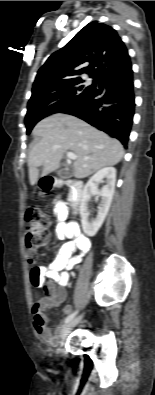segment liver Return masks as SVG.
I'll return each instance as SVG.
<instances>
[{
	"label": "liver",
	"mask_w": 155,
	"mask_h": 395,
	"mask_svg": "<svg viewBox=\"0 0 155 395\" xmlns=\"http://www.w3.org/2000/svg\"><path fill=\"white\" fill-rule=\"evenodd\" d=\"M41 140L31 149L28 158L29 181L35 185L39 167L45 176L60 166L66 152L76 155L73 174L85 178L94 172L118 164L124 154L122 144L87 122L67 114H54L41 120L33 129Z\"/></svg>",
	"instance_id": "obj_1"
}]
</instances>
